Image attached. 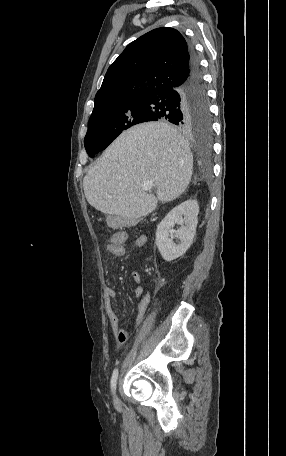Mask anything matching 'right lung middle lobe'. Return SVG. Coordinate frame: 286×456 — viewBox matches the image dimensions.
Listing matches in <instances>:
<instances>
[{
    "instance_id": "1",
    "label": "right lung middle lobe",
    "mask_w": 286,
    "mask_h": 456,
    "mask_svg": "<svg viewBox=\"0 0 286 456\" xmlns=\"http://www.w3.org/2000/svg\"><path fill=\"white\" fill-rule=\"evenodd\" d=\"M147 117V107L142 97H130L108 104L94 112L88 122V131L84 139L86 151L90 157L104 150L121 132L142 123ZM189 129L211 136L210 115L202 122Z\"/></svg>"
}]
</instances>
